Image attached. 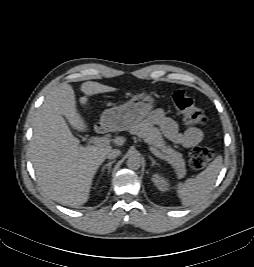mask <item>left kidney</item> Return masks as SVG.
I'll use <instances>...</instances> for the list:
<instances>
[{
    "label": "left kidney",
    "mask_w": 254,
    "mask_h": 267,
    "mask_svg": "<svg viewBox=\"0 0 254 267\" xmlns=\"http://www.w3.org/2000/svg\"><path fill=\"white\" fill-rule=\"evenodd\" d=\"M152 181L154 185L160 190V191H167L169 190V184L168 181L162 177L160 174L156 173L152 177Z\"/></svg>",
    "instance_id": "1"
}]
</instances>
